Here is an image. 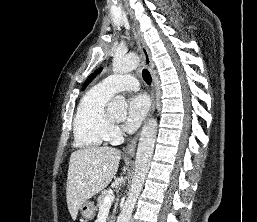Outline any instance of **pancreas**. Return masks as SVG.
<instances>
[{"label": "pancreas", "instance_id": "obj_1", "mask_svg": "<svg viewBox=\"0 0 257 222\" xmlns=\"http://www.w3.org/2000/svg\"><path fill=\"white\" fill-rule=\"evenodd\" d=\"M110 195V191L109 190H104L100 193V195L98 196L97 198V208L100 210L101 209V206L103 205L104 203V198L106 196ZM116 212V207L113 209V214L111 215L110 217V221L109 222H114V214Z\"/></svg>", "mask_w": 257, "mask_h": 222}]
</instances>
